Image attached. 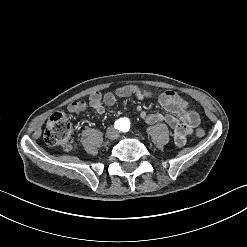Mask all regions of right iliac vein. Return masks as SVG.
<instances>
[{"instance_id":"obj_1","label":"right iliac vein","mask_w":247,"mask_h":247,"mask_svg":"<svg viewBox=\"0 0 247 247\" xmlns=\"http://www.w3.org/2000/svg\"><path fill=\"white\" fill-rule=\"evenodd\" d=\"M106 136L109 137V138H112L113 137V133L112 134H108Z\"/></svg>"}]
</instances>
